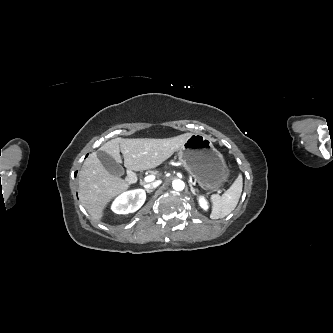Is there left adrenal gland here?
I'll return each instance as SVG.
<instances>
[{"mask_svg": "<svg viewBox=\"0 0 333 333\" xmlns=\"http://www.w3.org/2000/svg\"><path fill=\"white\" fill-rule=\"evenodd\" d=\"M189 186H190L192 194L196 195V189H194V187L192 186L191 183L189 184Z\"/></svg>", "mask_w": 333, "mask_h": 333, "instance_id": "obj_1", "label": "left adrenal gland"}]
</instances>
